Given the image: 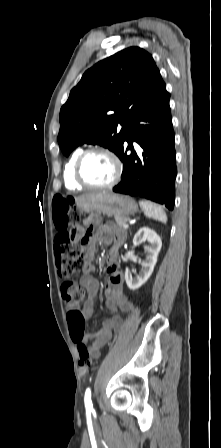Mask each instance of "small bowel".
I'll list each match as a JSON object with an SVG mask.
<instances>
[{
  "label": "small bowel",
  "instance_id": "1",
  "mask_svg": "<svg viewBox=\"0 0 221 448\" xmlns=\"http://www.w3.org/2000/svg\"><path fill=\"white\" fill-rule=\"evenodd\" d=\"M89 221L91 226L87 230L89 240L86 244L89 251L88 258H92V248L97 242L109 245L107 257L109 279L105 289L106 306L112 312L122 310L131 313L134 310V303L124 293L122 275L118 270L116 262V256L124 242V237L120 233L116 235L111 234L108 225L97 217L90 218ZM75 231L82 235L85 233V228L83 226H78L75 228ZM93 271L94 267L88 265L80 278L81 285L87 289L89 294V299L85 302L84 306L81 309H76L83 318L93 316V296L98 290V283L92 276ZM121 327L122 319L115 315L102 323V327L97 334L84 336L83 342L88 345L89 352L93 358H98L100 356V350L111 341L113 333L118 331Z\"/></svg>",
  "mask_w": 221,
  "mask_h": 448
}]
</instances>
